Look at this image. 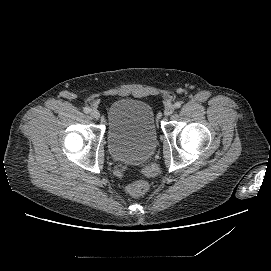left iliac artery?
<instances>
[{"label":"left iliac artery","instance_id":"left-iliac-artery-1","mask_svg":"<svg viewBox=\"0 0 271 271\" xmlns=\"http://www.w3.org/2000/svg\"><path fill=\"white\" fill-rule=\"evenodd\" d=\"M174 106H175V108H180V107H181V102H176V103L174 104Z\"/></svg>","mask_w":271,"mask_h":271}]
</instances>
